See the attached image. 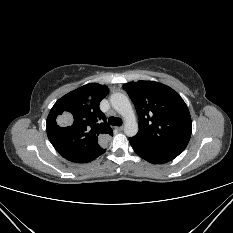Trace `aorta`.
<instances>
[{"instance_id": "obj_1", "label": "aorta", "mask_w": 233, "mask_h": 233, "mask_svg": "<svg viewBox=\"0 0 233 233\" xmlns=\"http://www.w3.org/2000/svg\"><path fill=\"white\" fill-rule=\"evenodd\" d=\"M111 106L124 118V132L133 137L138 132V123L133 107L125 94L114 93L110 96Z\"/></svg>"}]
</instances>
